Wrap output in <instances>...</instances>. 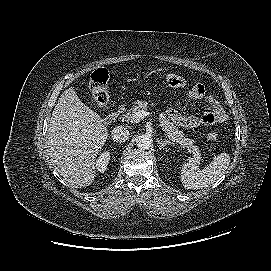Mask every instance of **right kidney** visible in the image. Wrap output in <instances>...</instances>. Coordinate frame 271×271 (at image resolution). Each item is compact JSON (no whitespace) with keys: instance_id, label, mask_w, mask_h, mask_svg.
Instances as JSON below:
<instances>
[{"instance_id":"1","label":"right kidney","mask_w":271,"mask_h":271,"mask_svg":"<svg viewBox=\"0 0 271 271\" xmlns=\"http://www.w3.org/2000/svg\"><path fill=\"white\" fill-rule=\"evenodd\" d=\"M110 160V153L108 151H104L100 154L98 159L96 160V169L103 173L106 170V167Z\"/></svg>"}]
</instances>
